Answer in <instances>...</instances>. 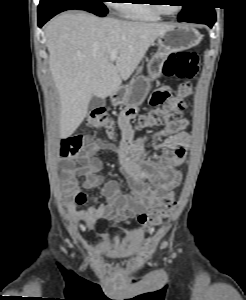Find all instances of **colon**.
Masks as SVG:
<instances>
[{
  "label": "colon",
  "mask_w": 246,
  "mask_h": 300,
  "mask_svg": "<svg viewBox=\"0 0 246 300\" xmlns=\"http://www.w3.org/2000/svg\"><path fill=\"white\" fill-rule=\"evenodd\" d=\"M199 59L197 54L190 51H182L169 56L163 65V74L169 78L186 80L181 83L175 94L171 97L156 92L151 98L154 105L152 109L138 116L135 128L143 129L153 124L165 123L168 120L178 121L181 112L185 108L184 99L192 93V83L198 75ZM87 126L94 129H102L110 137L114 136V122L104 108H95L87 118ZM84 145L82 135H74L66 139L61 148L63 156L76 155ZM176 206L174 194L164 196L156 208L142 213L138 222L144 227L160 225L170 217Z\"/></svg>",
  "instance_id": "colon-1"
}]
</instances>
